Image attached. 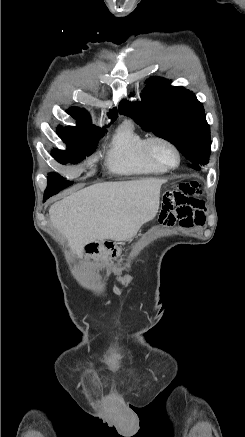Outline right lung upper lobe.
<instances>
[{"instance_id":"obj_1","label":"right lung upper lobe","mask_w":245,"mask_h":437,"mask_svg":"<svg viewBox=\"0 0 245 437\" xmlns=\"http://www.w3.org/2000/svg\"><path fill=\"white\" fill-rule=\"evenodd\" d=\"M67 113L75 118L80 125L89 126V124L91 123L89 113L85 109H81L79 107H71L67 110ZM117 115L118 113L116 108L108 113V116L110 119H112V122L116 119Z\"/></svg>"}]
</instances>
